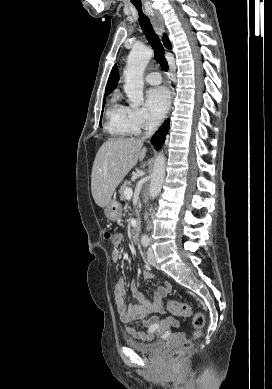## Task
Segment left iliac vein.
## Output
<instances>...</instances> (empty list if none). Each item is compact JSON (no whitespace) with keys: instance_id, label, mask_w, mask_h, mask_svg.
I'll return each mask as SVG.
<instances>
[{"instance_id":"1","label":"left iliac vein","mask_w":272,"mask_h":389,"mask_svg":"<svg viewBox=\"0 0 272 389\" xmlns=\"http://www.w3.org/2000/svg\"><path fill=\"white\" fill-rule=\"evenodd\" d=\"M147 261L150 265L154 266L155 265V257L152 248H149L147 250Z\"/></svg>"}]
</instances>
